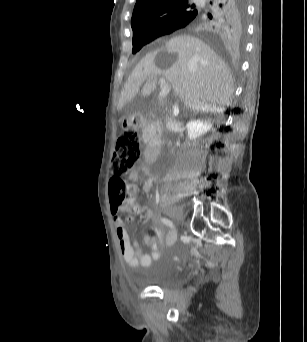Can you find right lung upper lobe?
<instances>
[{"instance_id": "right-lung-upper-lobe-1", "label": "right lung upper lobe", "mask_w": 307, "mask_h": 342, "mask_svg": "<svg viewBox=\"0 0 307 342\" xmlns=\"http://www.w3.org/2000/svg\"><path fill=\"white\" fill-rule=\"evenodd\" d=\"M239 7L237 0H208L197 6L188 0H136L131 26L133 35L190 26L212 40L222 41Z\"/></svg>"}]
</instances>
